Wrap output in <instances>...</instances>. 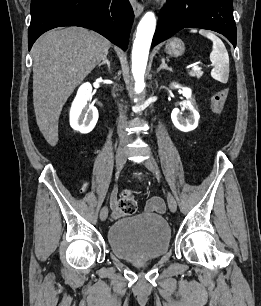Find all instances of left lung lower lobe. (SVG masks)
Masks as SVG:
<instances>
[{
  "label": "left lung lower lobe",
  "instance_id": "obj_1",
  "mask_svg": "<svg viewBox=\"0 0 261 306\" xmlns=\"http://www.w3.org/2000/svg\"><path fill=\"white\" fill-rule=\"evenodd\" d=\"M184 28H201L224 35L235 47L232 0H168L159 13L152 47Z\"/></svg>",
  "mask_w": 261,
  "mask_h": 306
}]
</instances>
